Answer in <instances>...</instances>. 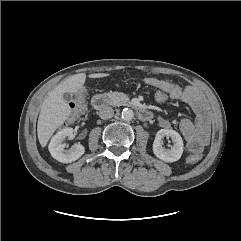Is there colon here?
<instances>
[{
    "instance_id": "1",
    "label": "colon",
    "mask_w": 241,
    "mask_h": 241,
    "mask_svg": "<svg viewBox=\"0 0 241 241\" xmlns=\"http://www.w3.org/2000/svg\"><path fill=\"white\" fill-rule=\"evenodd\" d=\"M153 98L157 103L163 104L170 99V96L165 90L156 88L153 93ZM70 106H71V114L69 117V122L72 123L78 120L86 111V108H87L86 93L85 92L78 93L73 98ZM199 159H200V156L197 154H191L186 157V161L191 164L198 162Z\"/></svg>"
}]
</instances>
